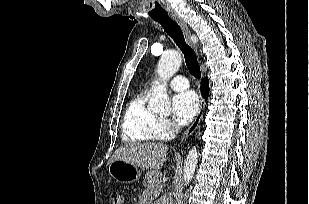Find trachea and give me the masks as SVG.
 <instances>
[{"label":"trachea","instance_id":"3493384b","mask_svg":"<svg viewBox=\"0 0 309 204\" xmlns=\"http://www.w3.org/2000/svg\"><path fill=\"white\" fill-rule=\"evenodd\" d=\"M153 20L159 22L165 32L174 40L178 47L182 50L185 58L186 66L189 72L195 77L200 78V66L194 50L186 44L183 33L179 25L168 15L153 17Z\"/></svg>","mask_w":309,"mask_h":204}]
</instances>
